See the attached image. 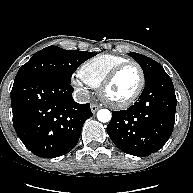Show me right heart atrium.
<instances>
[{
	"mask_svg": "<svg viewBox=\"0 0 193 193\" xmlns=\"http://www.w3.org/2000/svg\"><path fill=\"white\" fill-rule=\"evenodd\" d=\"M72 85L79 90L84 95L89 94V89L86 86V83L80 78L79 75H73L71 78Z\"/></svg>",
	"mask_w": 193,
	"mask_h": 193,
	"instance_id": "right-heart-atrium-1",
	"label": "right heart atrium"
}]
</instances>
